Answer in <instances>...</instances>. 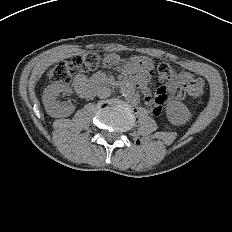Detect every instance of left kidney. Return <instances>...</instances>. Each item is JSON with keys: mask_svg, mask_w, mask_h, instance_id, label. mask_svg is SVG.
Returning a JSON list of instances; mask_svg holds the SVG:
<instances>
[{"mask_svg": "<svg viewBox=\"0 0 232 232\" xmlns=\"http://www.w3.org/2000/svg\"><path fill=\"white\" fill-rule=\"evenodd\" d=\"M166 116L171 124L180 126L187 123L191 119L192 115L184 103L180 101H173L166 108Z\"/></svg>", "mask_w": 232, "mask_h": 232, "instance_id": "obj_1", "label": "left kidney"}]
</instances>
